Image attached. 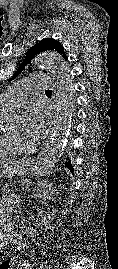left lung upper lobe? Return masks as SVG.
I'll return each mask as SVG.
<instances>
[{
    "instance_id": "5c2ea615",
    "label": "left lung upper lobe",
    "mask_w": 118,
    "mask_h": 269,
    "mask_svg": "<svg viewBox=\"0 0 118 269\" xmlns=\"http://www.w3.org/2000/svg\"><path fill=\"white\" fill-rule=\"evenodd\" d=\"M44 51H53L59 53L64 59L67 60V56L65 55V50L62 44L51 38L43 39L35 46H32L25 57V60L19 65L18 69L14 73L13 77L9 80L16 78L24 69V67L31 62V60L35 57V55L44 52Z\"/></svg>"
}]
</instances>
